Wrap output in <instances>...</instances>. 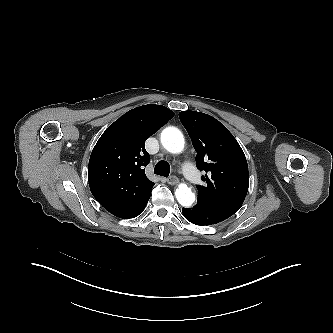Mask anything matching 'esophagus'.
Listing matches in <instances>:
<instances>
[{
	"instance_id": "1",
	"label": "esophagus",
	"mask_w": 333,
	"mask_h": 333,
	"mask_svg": "<svg viewBox=\"0 0 333 333\" xmlns=\"http://www.w3.org/2000/svg\"><path fill=\"white\" fill-rule=\"evenodd\" d=\"M166 181L170 185H175V184L179 183V180H178V178L176 176H171Z\"/></svg>"
}]
</instances>
